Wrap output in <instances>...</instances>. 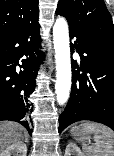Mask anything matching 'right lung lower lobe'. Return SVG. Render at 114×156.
I'll return each instance as SVG.
<instances>
[{
    "instance_id": "right-lung-lower-lobe-1",
    "label": "right lung lower lobe",
    "mask_w": 114,
    "mask_h": 156,
    "mask_svg": "<svg viewBox=\"0 0 114 156\" xmlns=\"http://www.w3.org/2000/svg\"><path fill=\"white\" fill-rule=\"evenodd\" d=\"M39 24L37 21L0 38V120H11L29 130L31 104L29 95L34 91L35 78L43 60L40 52ZM22 57V65L18 61ZM19 65L22 70H16Z\"/></svg>"
}]
</instances>
